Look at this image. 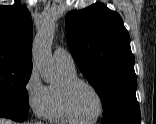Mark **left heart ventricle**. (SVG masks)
<instances>
[{"label":"left heart ventricle","mask_w":156,"mask_h":124,"mask_svg":"<svg viewBox=\"0 0 156 124\" xmlns=\"http://www.w3.org/2000/svg\"><path fill=\"white\" fill-rule=\"evenodd\" d=\"M71 105L82 119L95 117L100 108L96 94L87 86L79 85L71 93Z\"/></svg>","instance_id":"left-heart-ventricle-1"}]
</instances>
